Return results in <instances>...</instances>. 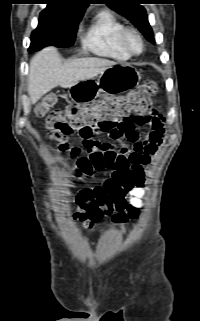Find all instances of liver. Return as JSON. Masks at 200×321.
Wrapping results in <instances>:
<instances>
[{"label": "liver", "mask_w": 200, "mask_h": 321, "mask_svg": "<svg viewBox=\"0 0 200 321\" xmlns=\"http://www.w3.org/2000/svg\"><path fill=\"white\" fill-rule=\"evenodd\" d=\"M114 64V61L95 57L63 63L57 49L47 47L30 61L28 94L31 102L36 103L57 86L70 88L80 81L94 78Z\"/></svg>", "instance_id": "1"}]
</instances>
